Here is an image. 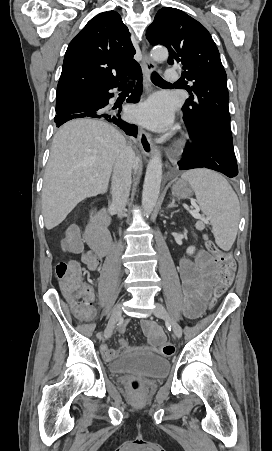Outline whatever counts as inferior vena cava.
<instances>
[{
	"instance_id": "1",
	"label": "inferior vena cava",
	"mask_w": 272,
	"mask_h": 451,
	"mask_svg": "<svg viewBox=\"0 0 272 451\" xmlns=\"http://www.w3.org/2000/svg\"><path fill=\"white\" fill-rule=\"evenodd\" d=\"M135 154L132 148H125L119 154L113 170L112 176V208L116 210L119 218L125 210V204L129 198L131 186V170L134 166Z\"/></svg>"
}]
</instances>
